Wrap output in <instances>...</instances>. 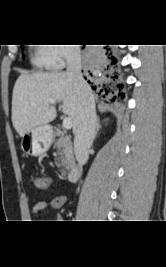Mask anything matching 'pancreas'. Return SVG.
I'll use <instances>...</instances> for the list:
<instances>
[{
    "label": "pancreas",
    "instance_id": "pancreas-1",
    "mask_svg": "<svg viewBox=\"0 0 166 267\" xmlns=\"http://www.w3.org/2000/svg\"><path fill=\"white\" fill-rule=\"evenodd\" d=\"M54 148H57L56 165L60 168V172L63 176L70 170L75 164L74 153L72 143L68 136L62 135L57 139L54 144Z\"/></svg>",
    "mask_w": 166,
    "mask_h": 267
}]
</instances>
